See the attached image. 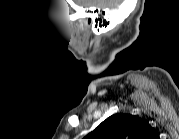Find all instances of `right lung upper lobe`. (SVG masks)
I'll list each match as a JSON object with an SVG mask.
<instances>
[{"label":"right lung upper lobe","mask_w":179,"mask_h":139,"mask_svg":"<svg viewBox=\"0 0 179 139\" xmlns=\"http://www.w3.org/2000/svg\"><path fill=\"white\" fill-rule=\"evenodd\" d=\"M155 131L149 123L128 113L114 114L90 132L86 139H148Z\"/></svg>","instance_id":"1"}]
</instances>
